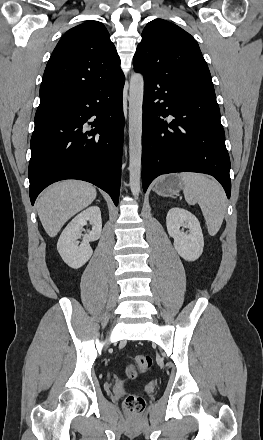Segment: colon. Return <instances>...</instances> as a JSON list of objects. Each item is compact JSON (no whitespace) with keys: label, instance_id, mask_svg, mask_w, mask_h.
Returning <instances> with one entry per match:
<instances>
[{"label":"colon","instance_id":"5ec220e1","mask_svg":"<svg viewBox=\"0 0 263 440\" xmlns=\"http://www.w3.org/2000/svg\"><path fill=\"white\" fill-rule=\"evenodd\" d=\"M152 358L146 354L135 355L131 362L126 366V375L133 379L139 374L147 372L152 366ZM124 409L130 414H139L145 408V400L137 394L128 395L123 402Z\"/></svg>","mask_w":263,"mask_h":440}]
</instances>
